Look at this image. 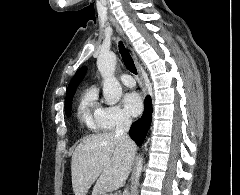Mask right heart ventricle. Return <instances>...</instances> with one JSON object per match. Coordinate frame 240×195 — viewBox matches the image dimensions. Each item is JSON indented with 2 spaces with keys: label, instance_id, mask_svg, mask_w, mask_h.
Returning <instances> with one entry per match:
<instances>
[{
  "label": "right heart ventricle",
  "instance_id": "right-heart-ventricle-1",
  "mask_svg": "<svg viewBox=\"0 0 240 195\" xmlns=\"http://www.w3.org/2000/svg\"><path fill=\"white\" fill-rule=\"evenodd\" d=\"M103 107L98 100L97 89H88L81 98L78 107V117L83 127L87 128L92 135L94 131H109L103 116ZM106 137V136H99Z\"/></svg>",
  "mask_w": 240,
  "mask_h": 195
}]
</instances>
